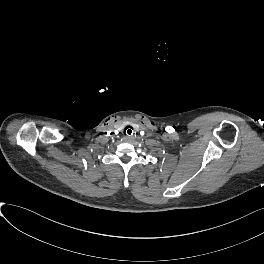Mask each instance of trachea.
Listing matches in <instances>:
<instances>
[{
  "mask_svg": "<svg viewBox=\"0 0 264 264\" xmlns=\"http://www.w3.org/2000/svg\"><path fill=\"white\" fill-rule=\"evenodd\" d=\"M134 130L132 126H126L123 130L124 135L131 136L133 134Z\"/></svg>",
  "mask_w": 264,
  "mask_h": 264,
  "instance_id": "trachea-1",
  "label": "trachea"
}]
</instances>
